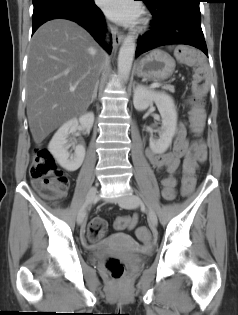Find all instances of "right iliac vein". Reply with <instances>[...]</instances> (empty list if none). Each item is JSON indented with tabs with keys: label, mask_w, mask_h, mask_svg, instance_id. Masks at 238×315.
<instances>
[{
	"label": "right iliac vein",
	"mask_w": 238,
	"mask_h": 315,
	"mask_svg": "<svg viewBox=\"0 0 238 315\" xmlns=\"http://www.w3.org/2000/svg\"><path fill=\"white\" fill-rule=\"evenodd\" d=\"M97 198V188L92 187L89 189L87 196H86V201H85V206L80 210L77 216V223L78 225H81L86 217V211L87 207L89 204H91L93 201H95Z\"/></svg>",
	"instance_id": "right-iliac-vein-1"
}]
</instances>
